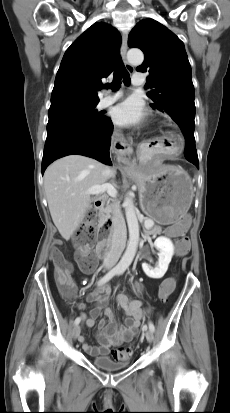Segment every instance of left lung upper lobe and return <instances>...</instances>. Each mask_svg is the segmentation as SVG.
<instances>
[{
	"label": "left lung upper lobe",
	"mask_w": 230,
	"mask_h": 413,
	"mask_svg": "<svg viewBox=\"0 0 230 413\" xmlns=\"http://www.w3.org/2000/svg\"><path fill=\"white\" fill-rule=\"evenodd\" d=\"M130 48H140L144 62L136 68L149 72L147 96L151 106L166 112L182 132H194L195 103L192 71L183 42L151 18L141 20L128 37Z\"/></svg>",
	"instance_id": "left-lung-upper-lobe-1"
}]
</instances>
